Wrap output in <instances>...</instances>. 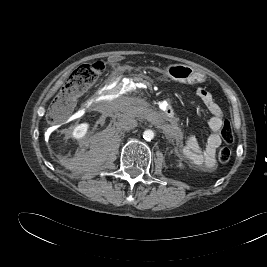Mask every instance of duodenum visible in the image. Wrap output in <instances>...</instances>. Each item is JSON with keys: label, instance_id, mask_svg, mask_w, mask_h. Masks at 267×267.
Returning <instances> with one entry per match:
<instances>
[{"label": "duodenum", "instance_id": "410a0bca", "mask_svg": "<svg viewBox=\"0 0 267 267\" xmlns=\"http://www.w3.org/2000/svg\"><path fill=\"white\" fill-rule=\"evenodd\" d=\"M126 93V86L124 84L109 83L107 85L106 98L109 101H114L117 97L123 96ZM169 119H174V112L171 107H166L162 111Z\"/></svg>", "mask_w": 267, "mask_h": 267}]
</instances>
